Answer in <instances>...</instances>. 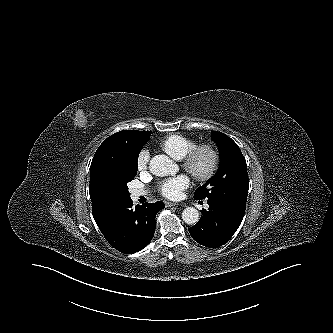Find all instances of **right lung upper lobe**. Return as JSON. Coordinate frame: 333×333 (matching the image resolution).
<instances>
[{"label":"right lung upper lobe","instance_id":"1","mask_svg":"<svg viewBox=\"0 0 333 333\" xmlns=\"http://www.w3.org/2000/svg\"><path fill=\"white\" fill-rule=\"evenodd\" d=\"M151 132L124 130L108 137L97 149L90 166L89 193L92 213L100 227L122 200L115 188L119 163L137 146L145 145ZM143 145V146H144Z\"/></svg>","mask_w":333,"mask_h":333}]
</instances>
